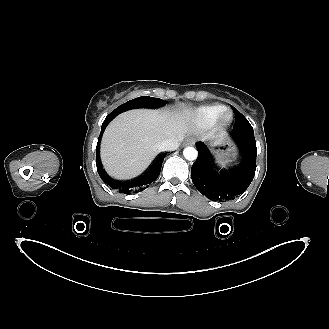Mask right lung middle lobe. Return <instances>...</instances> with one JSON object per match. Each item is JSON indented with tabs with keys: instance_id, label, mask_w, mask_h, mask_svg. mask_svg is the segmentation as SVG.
I'll use <instances>...</instances> for the list:
<instances>
[{
	"instance_id": "dd1d6c3e",
	"label": "right lung middle lobe",
	"mask_w": 329,
	"mask_h": 329,
	"mask_svg": "<svg viewBox=\"0 0 329 329\" xmlns=\"http://www.w3.org/2000/svg\"><path fill=\"white\" fill-rule=\"evenodd\" d=\"M166 104V102L162 99L159 98H154V97H147V96H142L135 98L133 100H130L119 107H117L113 112H111L107 117H115L118 114L134 109V108H158L162 107Z\"/></svg>"
}]
</instances>
